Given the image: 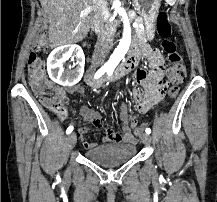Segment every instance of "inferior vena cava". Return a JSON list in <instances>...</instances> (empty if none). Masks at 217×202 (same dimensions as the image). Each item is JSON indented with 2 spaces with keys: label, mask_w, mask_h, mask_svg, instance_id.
I'll list each match as a JSON object with an SVG mask.
<instances>
[{
  "label": "inferior vena cava",
  "mask_w": 217,
  "mask_h": 202,
  "mask_svg": "<svg viewBox=\"0 0 217 202\" xmlns=\"http://www.w3.org/2000/svg\"><path fill=\"white\" fill-rule=\"evenodd\" d=\"M92 4V22L98 30V40L96 42L94 56H97V58H106L113 42L112 32L102 26L103 20H106L107 2L106 0H92Z\"/></svg>",
  "instance_id": "1"
}]
</instances>
